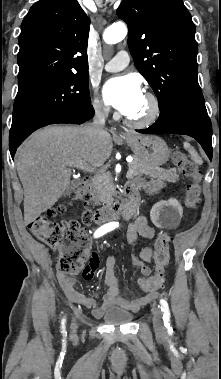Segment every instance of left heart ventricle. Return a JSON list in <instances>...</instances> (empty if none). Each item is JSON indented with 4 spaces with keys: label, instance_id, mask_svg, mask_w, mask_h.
Returning a JSON list of instances; mask_svg holds the SVG:
<instances>
[{
    "label": "left heart ventricle",
    "instance_id": "obj_1",
    "mask_svg": "<svg viewBox=\"0 0 221 379\" xmlns=\"http://www.w3.org/2000/svg\"><path fill=\"white\" fill-rule=\"evenodd\" d=\"M148 110H149V103L144 96L139 107L132 114H130L128 117H130L132 119L142 118L148 113Z\"/></svg>",
    "mask_w": 221,
    "mask_h": 379
}]
</instances>
